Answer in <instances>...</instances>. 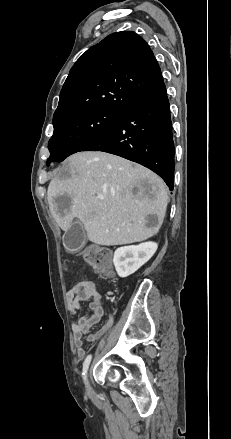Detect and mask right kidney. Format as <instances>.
<instances>
[{"label": "right kidney", "instance_id": "ca27d5eb", "mask_svg": "<svg viewBox=\"0 0 231 439\" xmlns=\"http://www.w3.org/2000/svg\"><path fill=\"white\" fill-rule=\"evenodd\" d=\"M157 248L158 244L155 242L118 248L113 257L117 274L122 278L133 274L154 255Z\"/></svg>", "mask_w": 231, "mask_h": 439}]
</instances>
